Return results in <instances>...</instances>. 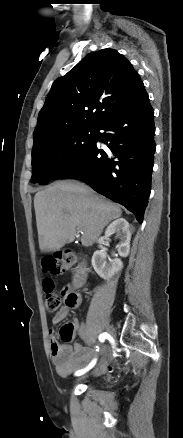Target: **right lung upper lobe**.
<instances>
[{
  "instance_id": "1",
  "label": "right lung upper lobe",
  "mask_w": 183,
  "mask_h": 438,
  "mask_svg": "<svg viewBox=\"0 0 183 438\" xmlns=\"http://www.w3.org/2000/svg\"><path fill=\"white\" fill-rule=\"evenodd\" d=\"M146 93L131 63L114 49L89 53L54 81L39 112L34 140L77 127H98Z\"/></svg>"
}]
</instances>
